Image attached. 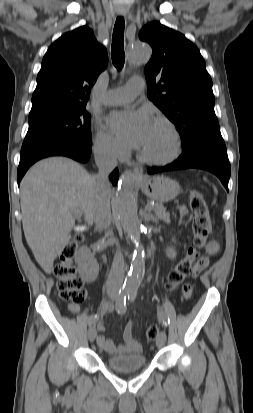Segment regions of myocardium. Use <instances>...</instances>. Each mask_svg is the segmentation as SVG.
Returning <instances> with one entry per match:
<instances>
[{
	"label": "myocardium",
	"mask_w": 253,
	"mask_h": 413,
	"mask_svg": "<svg viewBox=\"0 0 253 413\" xmlns=\"http://www.w3.org/2000/svg\"><path fill=\"white\" fill-rule=\"evenodd\" d=\"M154 123H158L166 127L168 132L171 135L172 138V143H173V148L172 151L169 155L162 157V158H156L147 155L143 151L138 152V157L140 160L147 164L151 165H167L175 161L181 154L182 151V140L181 136L176 128V126L173 124L172 121H170L168 118L159 116L154 119Z\"/></svg>",
	"instance_id": "1"
}]
</instances>
